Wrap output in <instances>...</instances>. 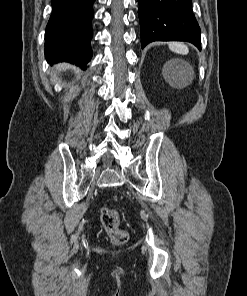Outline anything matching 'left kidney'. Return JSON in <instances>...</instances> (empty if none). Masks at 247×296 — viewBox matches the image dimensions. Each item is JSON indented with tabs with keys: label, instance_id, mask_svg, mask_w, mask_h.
Returning <instances> with one entry per match:
<instances>
[{
	"label": "left kidney",
	"instance_id": "obj_1",
	"mask_svg": "<svg viewBox=\"0 0 247 296\" xmlns=\"http://www.w3.org/2000/svg\"><path fill=\"white\" fill-rule=\"evenodd\" d=\"M168 64L172 68H178V67H180V64L177 61H170Z\"/></svg>",
	"mask_w": 247,
	"mask_h": 296
}]
</instances>
